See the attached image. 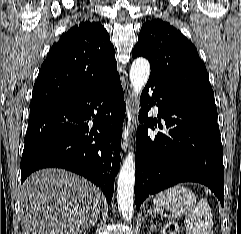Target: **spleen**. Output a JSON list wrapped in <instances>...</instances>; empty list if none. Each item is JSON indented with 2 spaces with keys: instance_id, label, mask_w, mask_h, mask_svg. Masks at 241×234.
I'll return each mask as SVG.
<instances>
[{
  "instance_id": "1",
  "label": "spleen",
  "mask_w": 241,
  "mask_h": 234,
  "mask_svg": "<svg viewBox=\"0 0 241 234\" xmlns=\"http://www.w3.org/2000/svg\"><path fill=\"white\" fill-rule=\"evenodd\" d=\"M153 203L173 213L185 215L186 234H213V215L205 199L196 202L195 194L182 185L161 191Z\"/></svg>"
}]
</instances>
